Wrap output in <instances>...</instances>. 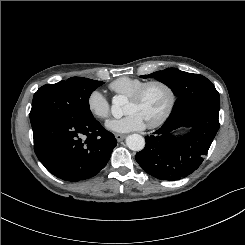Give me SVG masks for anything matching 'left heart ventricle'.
I'll list each match as a JSON object with an SVG mask.
<instances>
[{"instance_id": "obj_1", "label": "left heart ventricle", "mask_w": 245, "mask_h": 245, "mask_svg": "<svg viewBox=\"0 0 245 245\" xmlns=\"http://www.w3.org/2000/svg\"><path fill=\"white\" fill-rule=\"evenodd\" d=\"M168 94L160 86L150 87L138 102L128 100L125 114H138L145 124L157 120L165 111L168 104Z\"/></svg>"}]
</instances>
